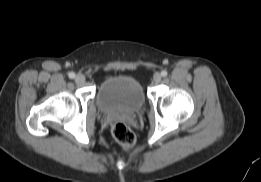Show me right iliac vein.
<instances>
[{
	"label": "right iliac vein",
	"instance_id": "63e3f726",
	"mask_svg": "<svg viewBox=\"0 0 261 182\" xmlns=\"http://www.w3.org/2000/svg\"><path fill=\"white\" fill-rule=\"evenodd\" d=\"M75 81L78 83V84H83L85 82V76L82 75V74H78L76 75L75 77Z\"/></svg>",
	"mask_w": 261,
	"mask_h": 182
}]
</instances>
